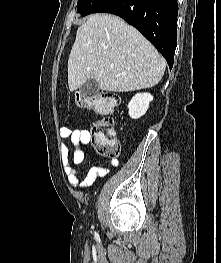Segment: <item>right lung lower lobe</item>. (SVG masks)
I'll use <instances>...</instances> for the list:
<instances>
[{
  "mask_svg": "<svg viewBox=\"0 0 221 263\" xmlns=\"http://www.w3.org/2000/svg\"><path fill=\"white\" fill-rule=\"evenodd\" d=\"M93 13L123 18L156 47L172 68L177 46V0H105Z\"/></svg>",
  "mask_w": 221,
  "mask_h": 263,
  "instance_id": "right-lung-lower-lobe-1",
  "label": "right lung lower lobe"
}]
</instances>
